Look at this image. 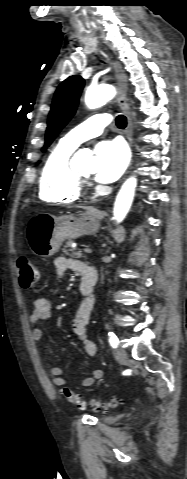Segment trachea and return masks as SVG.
<instances>
[{
    "label": "trachea",
    "instance_id": "obj_1",
    "mask_svg": "<svg viewBox=\"0 0 187 479\" xmlns=\"http://www.w3.org/2000/svg\"><path fill=\"white\" fill-rule=\"evenodd\" d=\"M116 125L119 127V128H125L126 125H127V120H126V117L124 115H118L116 117Z\"/></svg>",
    "mask_w": 187,
    "mask_h": 479
}]
</instances>
